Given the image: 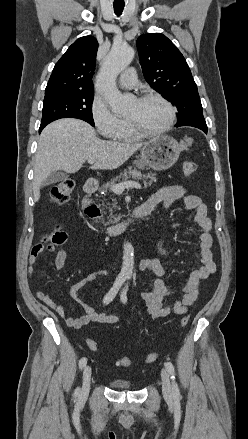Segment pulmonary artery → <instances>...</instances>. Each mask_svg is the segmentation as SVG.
Masks as SVG:
<instances>
[{
    "instance_id": "obj_1",
    "label": "pulmonary artery",
    "mask_w": 248,
    "mask_h": 439,
    "mask_svg": "<svg viewBox=\"0 0 248 439\" xmlns=\"http://www.w3.org/2000/svg\"><path fill=\"white\" fill-rule=\"evenodd\" d=\"M121 88L128 89L136 85V72L133 68L127 69L119 78Z\"/></svg>"
}]
</instances>
